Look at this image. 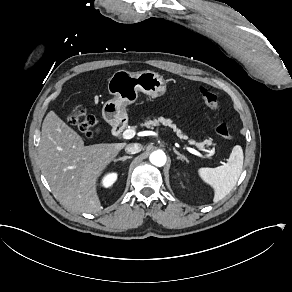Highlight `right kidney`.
<instances>
[{
	"label": "right kidney",
	"mask_w": 292,
	"mask_h": 292,
	"mask_svg": "<svg viewBox=\"0 0 292 292\" xmlns=\"http://www.w3.org/2000/svg\"><path fill=\"white\" fill-rule=\"evenodd\" d=\"M117 173L113 172V173H108L107 175H105L102 179V186L105 188H108L110 186H112L115 181L117 180Z\"/></svg>",
	"instance_id": "1"
}]
</instances>
